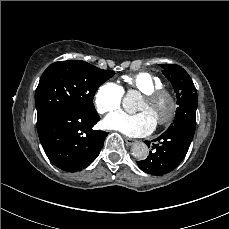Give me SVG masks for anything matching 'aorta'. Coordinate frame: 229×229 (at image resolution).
Listing matches in <instances>:
<instances>
[{
  "label": "aorta",
  "instance_id": "aorta-1",
  "mask_svg": "<svg viewBox=\"0 0 229 229\" xmlns=\"http://www.w3.org/2000/svg\"><path fill=\"white\" fill-rule=\"evenodd\" d=\"M136 100L137 94L134 92H130L127 96L123 99V107L128 110L132 111L136 108ZM149 149L145 143L137 142L133 144L131 147V153L133 157L143 160L148 156Z\"/></svg>",
  "mask_w": 229,
  "mask_h": 229
}]
</instances>
